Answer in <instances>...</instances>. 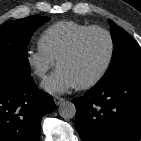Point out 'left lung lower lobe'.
Masks as SVG:
<instances>
[{
    "instance_id": "1",
    "label": "left lung lower lobe",
    "mask_w": 141,
    "mask_h": 141,
    "mask_svg": "<svg viewBox=\"0 0 141 141\" xmlns=\"http://www.w3.org/2000/svg\"><path fill=\"white\" fill-rule=\"evenodd\" d=\"M73 103L82 141L141 139V74L97 84Z\"/></svg>"
}]
</instances>
